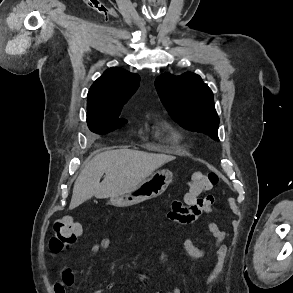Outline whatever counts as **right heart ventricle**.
<instances>
[{
    "label": "right heart ventricle",
    "mask_w": 293,
    "mask_h": 293,
    "mask_svg": "<svg viewBox=\"0 0 293 293\" xmlns=\"http://www.w3.org/2000/svg\"><path fill=\"white\" fill-rule=\"evenodd\" d=\"M164 131L167 133L169 142L177 143L181 139V134L170 125H164Z\"/></svg>",
    "instance_id": "right-heart-ventricle-1"
}]
</instances>
